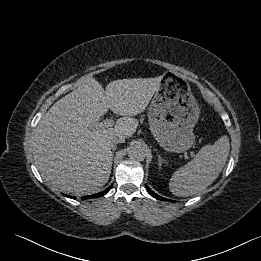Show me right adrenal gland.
<instances>
[{
    "mask_svg": "<svg viewBox=\"0 0 261 261\" xmlns=\"http://www.w3.org/2000/svg\"><path fill=\"white\" fill-rule=\"evenodd\" d=\"M116 149V147L114 146V147H112V151L114 152V150Z\"/></svg>",
    "mask_w": 261,
    "mask_h": 261,
    "instance_id": "2a0ac1e0",
    "label": "right adrenal gland"
}]
</instances>
